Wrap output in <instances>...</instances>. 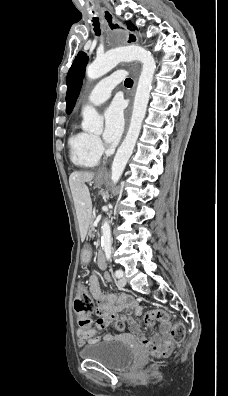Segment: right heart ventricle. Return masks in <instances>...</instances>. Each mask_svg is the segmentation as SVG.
<instances>
[{
	"instance_id": "1",
	"label": "right heart ventricle",
	"mask_w": 228,
	"mask_h": 396,
	"mask_svg": "<svg viewBox=\"0 0 228 396\" xmlns=\"http://www.w3.org/2000/svg\"><path fill=\"white\" fill-rule=\"evenodd\" d=\"M70 156L74 164L84 167H95L100 161V153L94 147V137L81 129H75L69 141Z\"/></svg>"
}]
</instances>
